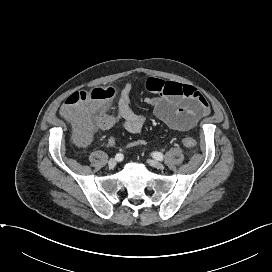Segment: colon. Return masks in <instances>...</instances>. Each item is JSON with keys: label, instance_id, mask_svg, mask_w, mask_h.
<instances>
[{"label": "colon", "instance_id": "colon-1", "mask_svg": "<svg viewBox=\"0 0 272 272\" xmlns=\"http://www.w3.org/2000/svg\"><path fill=\"white\" fill-rule=\"evenodd\" d=\"M112 88L101 87L91 91H77L71 94L62 107L63 117L71 123L74 138L79 144H86L91 139L95 128V116L114 97ZM182 143L187 148L197 144L192 137H185Z\"/></svg>", "mask_w": 272, "mask_h": 272}]
</instances>
